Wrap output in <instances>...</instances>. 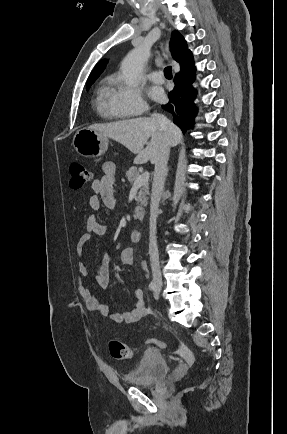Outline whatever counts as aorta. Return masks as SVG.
I'll return each instance as SVG.
<instances>
[{
  "label": "aorta",
  "instance_id": "762f6f07",
  "mask_svg": "<svg viewBox=\"0 0 287 434\" xmlns=\"http://www.w3.org/2000/svg\"><path fill=\"white\" fill-rule=\"evenodd\" d=\"M149 56L150 50L145 46H139L127 54L121 64L122 78L126 84L136 83Z\"/></svg>",
  "mask_w": 287,
  "mask_h": 434
}]
</instances>
